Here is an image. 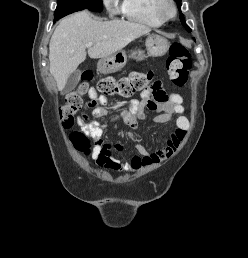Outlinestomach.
I'll use <instances>...</instances> for the list:
<instances>
[{
	"instance_id": "0dacf381",
	"label": "stomach",
	"mask_w": 248,
	"mask_h": 258,
	"mask_svg": "<svg viewBox=\"0 0 248 258\" xmlns=\"http://www.w3.org/2000/svg\"><path fill=\"white\" fill-rule=\"evenodd\" d=\"M145 46L146 50L133 49L129 54L120 50L104 57L99 60L97 69L103 74H110L120 71L126 65L128 58L141 61L148 57L163 56L169 49V42L159 35H151L147 38Z\"/></svg>"
}]
</instances>
